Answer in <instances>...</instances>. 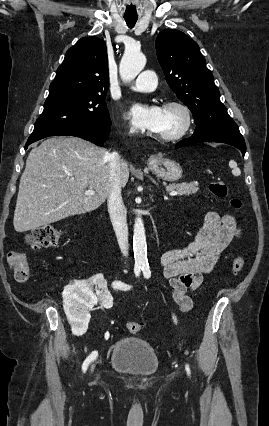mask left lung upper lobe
<instances>
[{
    "mask_svg": "<svg viewBox=\"0 0 269 426\" xmlns=\"http://www.w3.org/2000/svg\"><path fill=\"white\" fill-rule=\"evenodd\" d=\"M156 51L168 85L191 110L196 125L228 116L195 41L179 30L165 29L157 36Z\"/></svg>",
    "mask_w": 269,
    "mask_h": 426,
    "instance_id": "obj_1",
    "label": "left lung upper lobe"
}]
</instances>
